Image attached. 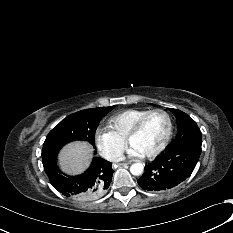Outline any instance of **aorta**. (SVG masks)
<instances>
[{
    "label": "aorta",
    "instance_id": "762f6f07",
    "mask_svg": "<svg viewBox=\"0 0 233 233\" xmlns=\"http://www.w3.org/2000/svg\"><path fill=\"white\" fill-rule=\"evenodd\" d=\"M144 167L141 163H134L130 167V172L134 176H139L143 173Z\"/></svg>",
    "mask_w": 233,
    "mask_h": 233
}]
</instances>
